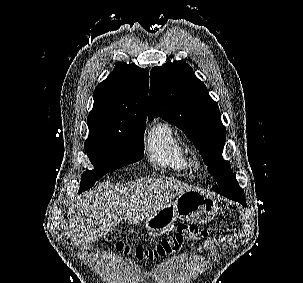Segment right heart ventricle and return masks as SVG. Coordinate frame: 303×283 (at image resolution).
<instances>
[{
    "instance_id": "obj_1",
    "label": "right heart ventricle",
    "mask_w": 303,
    "mask_h": 283,
    "mask_svg": "<svg viewBox=\"0 0 303 283\" xmlns=\"http://www.w3.org/2000/svg\"><path fill=\"white\" fill-rule=\"evenodd\" d=\"M147 152L150 160L162 168L179 174L188 171V149L177 131L168 123L161 122L147 135Z\"/></svg>"
}]
</instances>
